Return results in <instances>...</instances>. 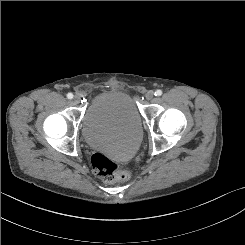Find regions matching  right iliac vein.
<instances>
[{
    "label": "right iliac vein",
    "mask_w": 245,
    "mask_h": 245,
    "mask_svg": "<svg viewBox=\"0 0 245 245\" xmlns=\"http://www.w3.org/2000/svg\"><path fill=\"white\" fill-rule=\"evenodd\" d=\"M79 100H80V97H79L78 95H75V96L73 97V102H74L75 104L79 103Z\"/></svg>",
    "instance_id": "right-iliac-vein-1"
}]
</instances>
